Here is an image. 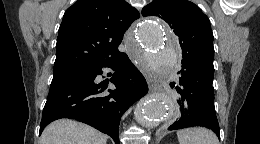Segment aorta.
<instances>
[{
    "instance_id": "obj_1",
    "label": "aorta",
    "mask_w": 260,
    "mask_h": 144,
    "mask_svg": "<svg viewBox=\"0 0 260 144\" xmlns=\"http://www.w3.org/2000/svg\"><path fill=\"white\" fill-rule=\"evenodd\" d=\"M137 41L146 55L133 47L132 55L152 73L169 74L178 61V42L168 34L159 21L154 18L143 20L137 28ZM174 101L160 93L146 96L135 108L137 122L144 127H155L169 121L175 111Z\"/></svg>"
}]
</instances>
